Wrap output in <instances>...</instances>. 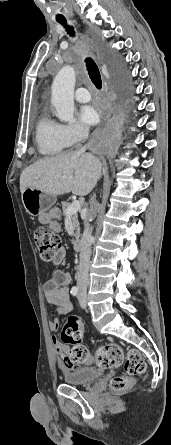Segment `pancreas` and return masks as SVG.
<instances>
[{"instance_id":"obj_1","label":"pancreas","mask_w":171,"mask_h":445,"mask_svg":"<svg viewBox=\"0 0 171 445\" xmlns=\"http://www.w3.org/2000/svg\"><path fill=\"white\" fill-rule=\"evenodd\" d=\"M70 206V204L69 203H67V202H62V210H63V215L66 217L67 215H66V210H67V208ZM71 220H72V223H73V226H74V229H75V234H74V236H75V238L76 239H78L79 238V236H80V226H79V221H78V215H77V213H75V214H73L72 216H71ZM72 242H74L73 240H72Z\"/></svg>"}]
</instances>
